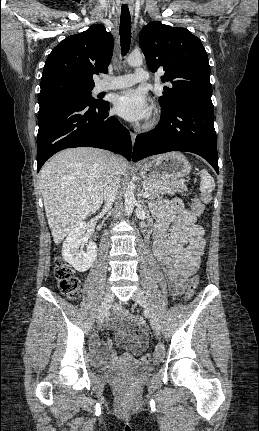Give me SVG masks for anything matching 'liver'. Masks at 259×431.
<instances>
[{
    "label": "liver",
    "instance_id": "6515ba94",
    "mask_svg": "<svg viewBox=\"0 0 259 431\" xmlns=\"http://www.w3.org/2000/svg\"><path fill=\"white\" fill-rule=\"evenodd\" d=\"M109 153L91 147L63 150L54 155L39 173L48 224L56 245L80 222L102 205ZM124 174L127 162L118 158Z\"/></svg>",
    "mask_w": 259,
    "mask_h": 431
}]
</instances>
